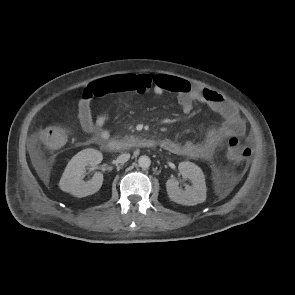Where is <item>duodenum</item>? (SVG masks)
<instances>
[{
  "label": "duodenum",
  "mask_w": 295,
  "mask_h": 295,
  "mask_svg": "<svg viewBox=\"0 0 295 295\" xmlns=\"http://www.w3.org/2000/svg\"><path fill=\"white\" fill-rule=\"evenodd\" d=\"M100 147L107 152L124 151L133 147L153 148L156 142L152 139L140 140H105L99 142Z\"/></svg>",
  "instance_id": "duodenum-1"
}]
</instances>
